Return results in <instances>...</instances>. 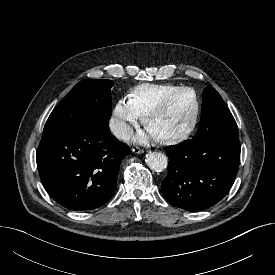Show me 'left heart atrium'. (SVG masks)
Returning a JSON list of instances; mask_svg holds the SVG:
<instances>
[{"mask_svg": "<svg viewBox=\"0 0 275 275\" xmlns=\"http://www.w3.org/2000/svg\"><path fill=\"white\" fill-rule=\"evenodd\" d=\"M150 138H154V136L151 134V132L148 130L147 132L139 133L136 136V141L138 142H145Z\"/></svg>", "mask_w": 275, "mask_h": 275, "instance_id": "obj_1", "label": "left heart atrium"}]
</instances>
